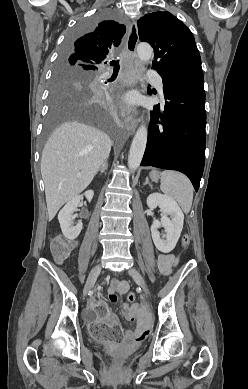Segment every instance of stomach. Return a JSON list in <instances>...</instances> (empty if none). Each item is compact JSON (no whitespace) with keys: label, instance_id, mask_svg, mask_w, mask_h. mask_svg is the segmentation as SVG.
Returning <instances> with one entry per match:
<instances>
[{"label":"stomach","instance_id":"0dacf381","mask_svg":"<svg viewBox=\"0 0 248 389\" xmlns=\"http://www.w3.org/2000/svg\"><path fill=\"white\" fill-rule=\"evenodd\" d=\"M150 179L153 182H157L160 179V172L157 170H152L149 174Z\"/></svg>","mask_w":248,"mask_h":389}]
</instances>
